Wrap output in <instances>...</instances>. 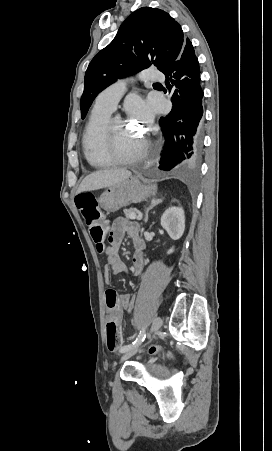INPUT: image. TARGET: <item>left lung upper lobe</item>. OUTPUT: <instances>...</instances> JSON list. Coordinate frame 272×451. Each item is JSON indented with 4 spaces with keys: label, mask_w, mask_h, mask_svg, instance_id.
Masks as SVG:
<instances>
[{
    "label": "left lung upper lobe",
    "mask_w": 272,
    "mask_h": 451,
    "mask_svg": "<svg viewBox=\"0 0 272 451\" xmlns=\"http://www.w3.org/2000/svg\"><path fill=\"white\" fill-rule=\"evenodd\" d=\"M185 40L180 24L161 9L142 7L130 14L87 68L80 101L82 119L95 97L117 78L151 65L165 71L180 55Z\"/></svg>",
    "instance_id": "obj_1"
}]
</instances>
